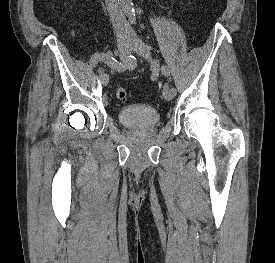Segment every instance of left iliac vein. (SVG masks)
<instances>
[{
  "mask_svg": "<svg viewBox=\"0 0 275 263\" xmlns=\"http://www.w3.org/2000/svg\"><path fill=\"white\" fill-rule=\"evenodd\" d=\"M130 48L133 52L145 58L148 62H152V57H151L149 47L138 37L135 36L131 39ZM162 95H163V98L167 101H170L175 97V94L168 89H164L162 92Z\"/></svg>",
  "mask_w": 275,
  "mask_h": 263,
  "instance_id": "1",
  "label": "left iliac vein"
}]
</instances>
